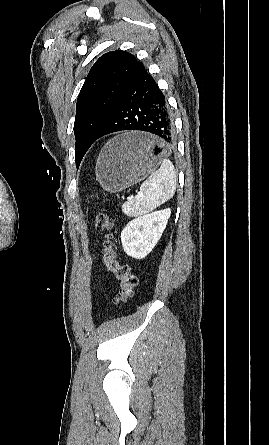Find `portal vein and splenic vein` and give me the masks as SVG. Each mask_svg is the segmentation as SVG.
Wrapping results in <instances>:
<instances>
[{
    "mask_svg": "<svg viewBox=\"0 0 269 445\" xmlns=\"http://www.w3.org/2000/svg\"><path fill=\"white\" fill-rule=\"evenodd\" d=\"M132 199V197H128V200H131Z\"/></svg>",
    "mask_w": 269,
    "mask_h": 445,
    "instance_id": "18ae733b",
    "label": "portal vein and splenic vein"
}]
</instances>
